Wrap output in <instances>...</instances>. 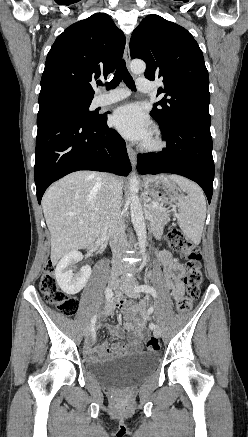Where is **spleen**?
<instances>
[{
  "label": "spleen",
  "instance_id": "1",
  "mask_svg": "<svg viewBox=\"0 0 248 437\" xmlns=\"http://www.w3.org/2000/svg\"><path fill=\"white\" fill-rule=\"evenodd\" d=\"M169 179L176 183L187 195L178 196V224L189 239L195 244L201 241V234L206 218V200L201 188L194 182L178 175H170Z\"/></svg>",
  "mask_w": 248,
  "mask_h": 437
}]
</instances>
